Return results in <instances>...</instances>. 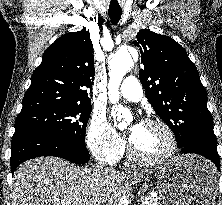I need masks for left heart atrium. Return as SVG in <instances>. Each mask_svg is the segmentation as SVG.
<instances>
[{"mask_svg": "<svg viewBox=\"0 0 222 205\" xmlns=\"http://www.w3.org/2000/svg\"><path fill=\"white\" fill-rule=\"evenodd\" d=\"M139 125V122H135L134 123V128L132 130H130V133H129V137H130V140L132 139L133 135H134V130L136 129V127Z\"/></svg>", "mask_w": 222, "mask_h": 205, "instance_id": "obj_1", "label": "left heart atrium"}]
</instances>
